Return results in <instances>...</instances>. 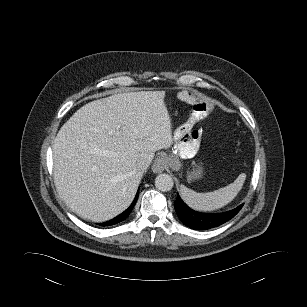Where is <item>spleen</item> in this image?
<instances>
[{"label":"spleen","instance_id":"1","mask_svg":"<svg viewBox=\"0 0 307 307\" xmlns=\"http://www.w3.org/2000/svg\"><path fill=\"white\" fill-rule=\"evenodd\" d=\"M246 174H240L237 179L218 190L208 193H197L185 186L180 189L184 202L197 211H213L231 202L241 190Z\"/></svg>","mask_w":307,"mask_h":307}]
</instances>
